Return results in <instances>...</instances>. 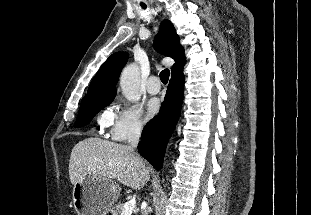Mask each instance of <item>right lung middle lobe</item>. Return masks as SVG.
<instances>
[{"mask_svg": "<svg viewBox=\"0 0 311 215\" xmlns=\"http://www.w3.org/2000/svg\"><path fill=\"white\" fill-rule=\"evenodd\" d=\"M114 99V96H104L94 98L85 102L79 109L78 117L75 122V127H82L88 124L91 119L104 107L108 106Z\"/></svg>", "mask_w": 311, "mask_h": 215, "instance_id": "obj_1", "label": "right lung middle lobe"}]
</instances>
